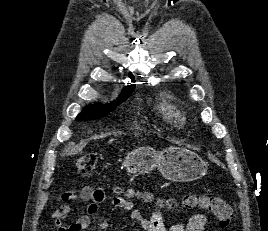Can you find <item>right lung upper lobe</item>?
<instances>
[{
  "label": "right lung upper lobe",
  "mask_w": 268,
  "mask_h": 231,
  "mask_svg": "<svg viewBox=\"0 0 268 231\" xmlns=\"http://www.w3.org/2000/svg\"><path fill=\"white\" fill-rule=\"evenodd\" d=\"M129 77L132 79L133 82L135 81L134 76L131 73H129ZM134 88H135L134 84L125 87L122 90V94L120 95V97L109 105H117L120 104L122 101L126 100L132 94Z\"/></svg>",
  "instance_id": "cb5924a9"
}]
</instances>
